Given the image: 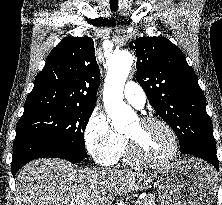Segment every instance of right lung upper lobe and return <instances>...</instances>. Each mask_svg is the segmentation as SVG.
<instances>
[{"instance_id":"1","label":"right lung upper lobe","mask_w":222,"mask_h":205,"mask_svg":"<svg viewBox=\"0 0 222 205\" xmlns=\"http://www.w3.org/2000/svg\"><path fill=\"white\" fill-rule=\"evenodd\" d=\"M100 70L91 37H65L35 79L24 113L53 107H94Z\"/></svg>"}]
</instances>
